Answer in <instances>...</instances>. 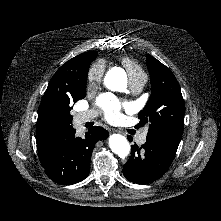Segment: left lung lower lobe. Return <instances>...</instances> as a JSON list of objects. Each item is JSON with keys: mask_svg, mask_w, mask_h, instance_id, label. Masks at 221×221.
Returning <instances> with one entry per match:
<instances>
[{"mask_svg": "<svg viewBox=\"0 0 221 221\" xmlns=\"http://www.w3.org/2000/svg\"><path fill=\"white\" fill-rule=\"evenodd\" d=\"M180 139L166 135L147 137L141 147L131 146V156L123 166L126 179L148 184L162 177L176 155Z\"/></svg>", "mask_w": 221, "mask_h": 221, "instance_id": "left-lung-lower-lobe-1", "label": "left lung lower lobe"}]
</instances>
